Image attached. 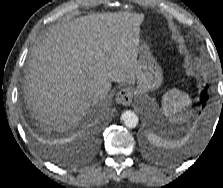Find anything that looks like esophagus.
Here are the masks:
<instances>
[{"instance_id": "1", "label": "esophagus", "mask_w": 223, "mask_h": 188, "mask_svg": "<svg viewBox=\"0 0 223 188\" xmlns=\"http://www.w3.org/2000/svg\"><path fill=\"white\" fill-rule=\"evenodd\" d=\"M132 96V92L129 88H123L117 93L115 101L117 104L129 106L132 102Z\"/></svg>"}]
</instances>
